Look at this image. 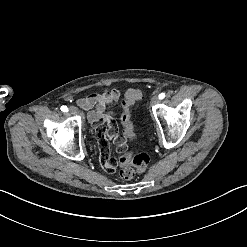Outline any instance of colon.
Instances as JSON below:
<instances>
[{"mask_svg":"<svg viewBox=\"0 0 247 247\" xmlns=\"http://www.w3.org/2000/svg\"><path fill=\"white\" fill-rule=\"evenodd\" d=\"M143 95L138 89H129L122 99V106L124 113L122 115V121L124 124L123 136L126 140L134 141L137 136L135 133L134 126L131 122L130 104L142 99ZM150 162V157L147 153L138 152L135 153L133 150H128L125 155L117 159L119 166H124L119 170V173L124 179H132L137 174L142 173Z\"/></svg>","mask_w":247,"mask_h":247,"instance_id":"obj_1","label":"colon"}]
</instances>
